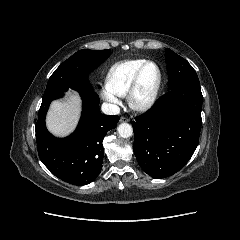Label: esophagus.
Here are the masks:
<instances>
[{
  "instance_id": "34e87169",
  "label": "esophagus",
  "mask_w": 240,
  "mask_h": 240,
  "mask_svg": "<svg viewBox=\"0 0 240 240\" xmlns=\"http://www.w3.org/2000/svg\"><path fill=\"white\" fill-rule=\"evenodd\" d=\"M129 121H130V119H129L128 117L122 116V117L120 118V122H129Z\"/></svg>"
}]
</instances>
